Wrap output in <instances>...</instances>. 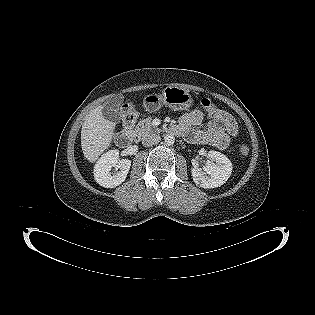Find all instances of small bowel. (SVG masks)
I'll list each match as a JSON object with an SVG mask.
<instances>
[{"label":"small bowel","mask_w":315,"mask_h":315,"mask_svg":"<svg viewBox=\"0 0 315 315\" xmlns=\"http://www.w3.org/2000/svg\"><path fill=\"white\" fill-rule=\"evenodd\" d=\"M226 111L206 112L192 110L183 114L178 123L174 125L187 142L191 144H205L223 150L227 148L232 137L237 134V123L235 129H230L229 119L224 118ZM231 118H233L231 116ZM207 119V127L204 130L199 126Z\"/></svg>","instance_id":"small-bowel-1"}]
</instances>
